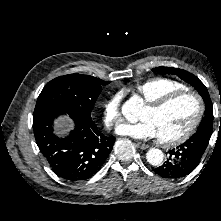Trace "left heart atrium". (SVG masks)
I'll return each instance as SVG.
<instances>
[{"label":"left heart atrium","mask_w":221,"mask_h":221,"mask_svg":"<svg viewBox=\"0 0 221 221\" xmlns=\"http://www.w3.org/2000/svg\"><path fill=\"white\" fill-rule=\"evenodd\" d=\"M119 135L131 137L138 140L158 138L154 125L149 120H142L138 123H123L116 129Z\"/></svg>","instance_id":"obj_1"}]
</instances>
